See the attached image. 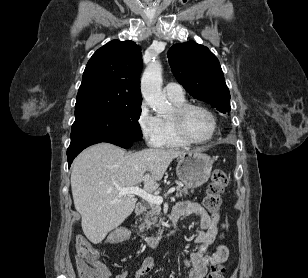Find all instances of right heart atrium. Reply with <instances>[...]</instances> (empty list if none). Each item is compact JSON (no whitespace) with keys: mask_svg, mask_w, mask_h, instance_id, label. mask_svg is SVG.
<instances>
[{"mask_svg":"<svg viewBox=\"0 0 308 278\" xmlns=\"http://www.w3.org/2000/svg\"><path fill=\"white\" fill-rule=\"evenodd\" d=\"M137 125L145 142L151 147H160L163 140V132L160 118L155 116L149 106L143 102L140 106Z\"/></svg>","mask_w":308,"mask_h":278,"instance_id":"1","label":"right heart atrium"}]
</instances>
